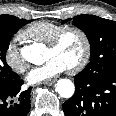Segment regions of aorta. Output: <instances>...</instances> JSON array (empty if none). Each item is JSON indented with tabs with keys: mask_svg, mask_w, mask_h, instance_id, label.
I'll return each instance as SVG.
<instances>
[{
	"mask_svg": "<svg viewBox=\"0 0 116 116\" xmlns=\"http://www.w3.org/2000/svg\"><path fill=\"white\" fill-rule=\"evenodd\" d=\"M22 57L32 63V64H41L43 61V57L41 55L40 48L33 44L29 46H25L21 50ZM55 90L59 93V95L63 98H70L75 91L74 84L69 79H60L55 85Z\"/></svg>",
	"mask_w": 116,
	"mask_h": 116,
	"instance_id": "1",
	"label": "aorta"
}]
</instances>
